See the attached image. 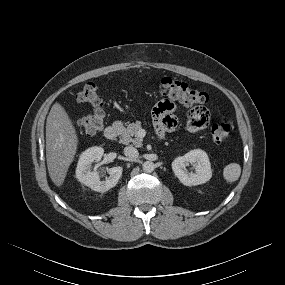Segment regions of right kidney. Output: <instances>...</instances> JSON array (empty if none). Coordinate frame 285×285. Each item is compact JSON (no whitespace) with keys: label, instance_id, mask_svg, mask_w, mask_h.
<instances>
[{"label":"right kidney","instance_id":"right-kidney-1","mask_svg":"<svg viewBox=\"0 0 285 285\" xmlns=\"http://www.w3.org/2000/svg\"><path fill=\"white\" fill-rule=\"evenodd\" d=\"M103 154L104 149L101 147L88 148L80 155L76 168V178L78 181L97 192H106L116 186L123 171V168L120 166L112 167L107 170L109 177L101 180L104 173L96 171V168L91 171V164L99 162Z\"/></svg>","mask_w":285,"mask_h":285}]
</instances>
